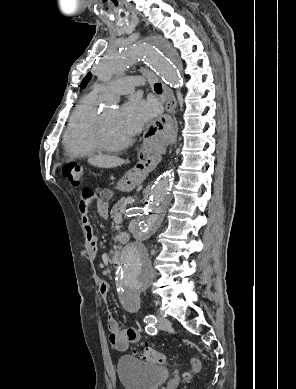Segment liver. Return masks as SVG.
I'll use <instances>...</instances> for the list:
<instances>
[{
	"label": "liver",
	"mask_w": 296,
	"mask_h": 389,
	"mask_svg": "<svg viewBox=\"0 0 296 389\" xmlns=\"http://www.w3.org/2000/svg\"><path fill=\"white\" fill-rule=\"evenodd\" d=\"M88 163L100 168H114L123 165L125 161L114 156L97 155L89 157Z\"/></svg>",
	"instance_id": "liver-1"
}]
</instances>
